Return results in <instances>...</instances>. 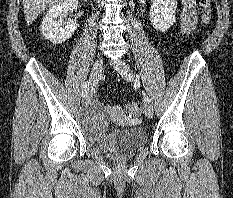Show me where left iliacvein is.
<instances>
[{
    "mask_svg": "<svg viewBox=\"0 0 233 198\" xmlns=\"http://www.w3.org/2000/svg\"><path fill=\"white\" fill-rule=\"evenodd\" d=\"M112 66L115 70L127 81H133L135 79V74L131 70L128 64H126L121 59L111 62ZM143 102H144V113L148 118H152L153 116V105L151 103L150 98L146 93L143 94Z\"/></svg>",
    "mask_w": 233,
    "mask_h": 198,
    "instance_id": "obj_1",
    "label": "left iliac vein"
}]
</instances>
